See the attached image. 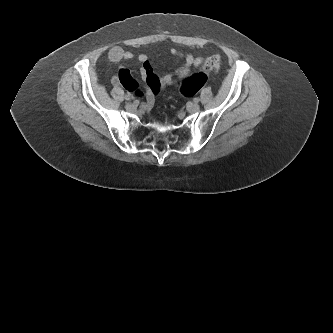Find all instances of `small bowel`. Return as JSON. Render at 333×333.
<instances>
[{"label":"small bowel","mask_w":333,"mask_h":333,"mask_svg":"<svg viewBox=\"0 0 333 333\" xmlns=\"http://www.w3.org/2000/svg\"><path fill=\"white\" fill-rule=\"evenodd\" d=\"M170 53L174 57L181 59L183 63L174 72L161 76L155 73L147 55L140 54L137 57V60L141 64L140 75L145 83L146 108L153 105L155 96L160 91L175 84L178 79L186 77L191 67H199L203 64V58L195 57L179 49L172 48ZM108 58L111 62L120 64L122 61L133 59L134 54L130 51H125L119 46H114L109 49ZM112 83L114 85L123 84L129 93H137L141 88V83L138 80H133L130 71L123 65H119L118 73L112 77Z\"/></svg>","instance_id":"obj_1"}]
</instances>
